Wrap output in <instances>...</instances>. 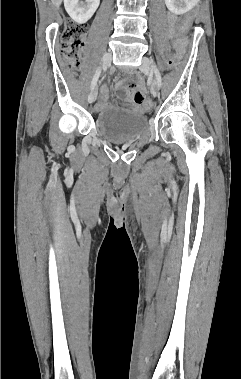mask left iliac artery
Wrapping results in <instances>:
<instances>
[{
    "label": "left iliac artery",
    "mask_w": 241,
    "mask_h": 379,
    "mask_svg": "<svg viewBox=\"0 0 241 379\" xmlns=\"http://www.w3.org/2000/svg\"><path fill=\"white\" fill-rule=\"evenodd\" d=\"M153 70L157 79L158 87L160 88L162 85V78L159 69L155 66H153Z\"/></svg>",
    "instance_id": "1"
}]
</instances>
